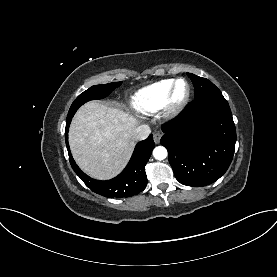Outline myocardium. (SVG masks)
<instances>
[{
    "mask_svg": "<svg viewBox=\"0 0 277 277\" xmlns=\"http://www.w3.org/2000/svg\"><path fill=\"white\" fill-rule=\"evenodd\" d=\"M181 82H183L186 85V92L181 98H178L177 87H178V84ZM190 96H191V87L189 82L184 78L176 79L168 93L167 100L164 105L165 114L169 117L176 116L177 114H179L188 104L190 100Z\"/></svg>",
    "mask_w": 277,
    "mask_h": 277,
    "instance_id": "myocardium-1",
    "label": "myocardium"
}]
</instances>
